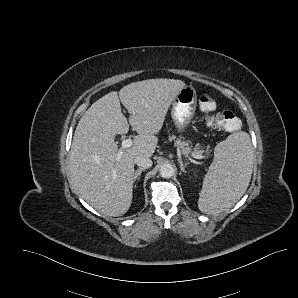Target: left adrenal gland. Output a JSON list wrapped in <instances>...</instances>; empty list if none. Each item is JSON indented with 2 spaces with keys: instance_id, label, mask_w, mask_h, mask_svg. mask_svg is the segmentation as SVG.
Masks as SVG:
<instances>
[{
  "instance_id": "1",
  "label": "left adrenal gland",
  "mask_w": 298,
  "mask_h": 298,
  "mask_svg": "<svg viewBox=\"0 0 298 298\" xmlns=\"http://www.w3.org/2000/svg\"><path fill=\"white\" fill-rule=\"evenodd\" d=\"M179 164H180V170L182 172H185V167L188 165V163H183V161L181 159L178 160Z\"/></svg>"
}]
</instances>
